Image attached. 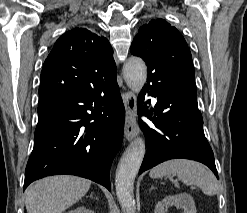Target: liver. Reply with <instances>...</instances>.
<instances>
[{"label":"liver","instance_id":"liver-1","mask_svg":"<svg viewBox=\"0 0 247 213\" xmlns=\"http://www.w3.org/2000/svg\"><path fill=\"white\" fill-rule=\"evenodd\" d=\"M91 181L77 176H51L31 184L25 192L27 213H62L81 199Z\"/></svg>","mask_w":247,"mask_h":213}]
</instances>
